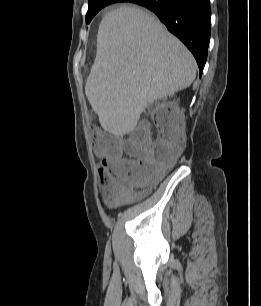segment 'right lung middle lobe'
<instances>
[{"mask_svg": "<svg viewBox=\"0 0 261 306\" xmlns=\"http://www.w3.org/2000/svg\"><path fill=\"white\" fill-rule=\"evenodd\" d=\"M118 2H122V1H93V2H89V8H88V12L86 14V23H90V21L92 20V18L104 7H106L107 5L113 4V3H118Z\"/></svg>", "mask_w": 261, "mask_h": 306, "instance_id": "dd1d6c3e", "label": "right lung middle lobe"}]
</instances>
